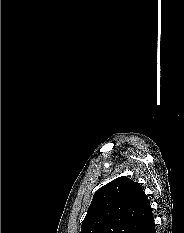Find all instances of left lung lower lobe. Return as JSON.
Listing matches in <instances>:
<instances>
[{"mask_svg":"<svg viewBox=\"0 0 184 233\" xmlns=\"http://www.w3.org/2000/svg\"><path fill=\"white\" fill-rule=\"evenodd\" d=\"M143 233H156L153 214H151L148 224L146 225Z\"/></svg>","mask_w":184,"mask_h":233,"instance_id":"1","label":"left lung lower lobe"}]
</instances>
